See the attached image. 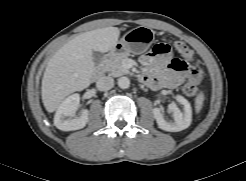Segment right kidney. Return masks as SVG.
<instances>
[{
  "instance_id": "ca27d5eb",
  "label": "right kidney",
  "mask_w": 246,
  "mask_h": 181,
  "mask_svg": "<svg viewBox=\"0 0 246 181\" xmlns=\"http://www.w3.org/2000/svg\"><path fill=\"white\" fill-rule=\"evenodd\" d=\"M80 102L79 94L67 97L58 107L54 116V125L62 131H74L82 129L89 120V111L83 110L79 118L66 119L75 114Z\"/></svg>"
}]
</instances>
